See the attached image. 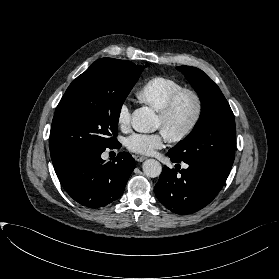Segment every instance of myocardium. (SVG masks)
<instances>
[{
	"mask_svg": "<svg viewBox=\"0 0 279 279\" xmlns=\"http://www.w3.org/2000/svg\"><path fill=\"white\" fill-rule=\"evenodd\" d=\"M184 95L190 96L194 100L195 112H194V115H193L191 121L189 122V124L182 131H180L179 133L167 136V139L171 142H181V141L185 140L186 138H188L196 130V128L199 125V123L202 119V116H203L204 103H203V99L200 96V94L190 88H181V89L175 91L167 99L165 106L163 107L162 110L159 111L158 117L162 121H168L173 114L176 103L178 102L180 97H182Z\"/></svg>",
	"mask_w": 279,
	"mask_h": 279,
	"instance_id": "1",
	"label": "myocardium"
}]
</instances>
